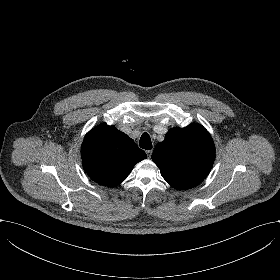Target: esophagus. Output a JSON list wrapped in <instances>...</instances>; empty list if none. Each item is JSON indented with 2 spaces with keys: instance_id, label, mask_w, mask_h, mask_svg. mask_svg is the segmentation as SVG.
<instances>
[{
  "instance_id": "1",
  "label": "esophagus",
  "mask_w": 280,
  "mask_h": 280,
  "mask_svg": "<svg viewBox=\"0 0 280 280\" xmlns=\"http://www.w3.org/2000/svg\"><path fill=\"white\" fill-rule=\"evenodd\" d=\"M146 154L148 158H151L152 156V150H146Z\"/></svg>"
}]
</instances>
